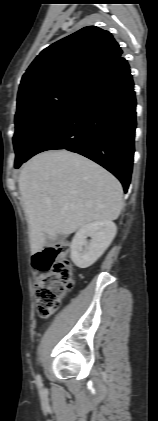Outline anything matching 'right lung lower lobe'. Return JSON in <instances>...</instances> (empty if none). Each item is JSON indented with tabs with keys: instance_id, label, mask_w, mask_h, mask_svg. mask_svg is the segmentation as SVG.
I'll use <instances>...</instances> for the list:
<instances>
[{
	"instance_id": "obj_1",
	"label": "right lung lower lobe",
	"mask_w": 158,
	"mask_h": 421,
	"mask_svg": "<svg viewBox=\"0 0 158 421\" xmlns=\"http://www.w3.org/2000/svg\"><path fill=\"white\" fill-rule=\"evenodd\" d=\"M130 68L120 57L107 65L70 101L32 147V156L54 149L79 153L113 173L126 192L136 129V99Z\"/></svg>"
}]
</instances>
